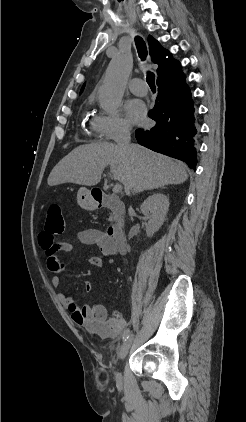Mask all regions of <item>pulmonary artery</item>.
I'll return each instance as SVG.
<instances>
[{"label": "pulmonary artery", "instance_id": "1", "mask_svg": "<svg viewBox=\"0 0 246 422\" xmlns=\"http://www.w3.org/2000/svg\"><path fill=\"white\" fill-rule=\"evenodd\" d=\"M128 87L132 93L138 96H145L148 93L145 81L140 78L131 79L128 83Z\"/></svg>", "mask_w": 246, "mask_h": 422}]
</instances>
